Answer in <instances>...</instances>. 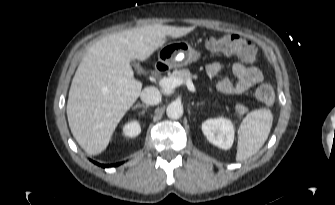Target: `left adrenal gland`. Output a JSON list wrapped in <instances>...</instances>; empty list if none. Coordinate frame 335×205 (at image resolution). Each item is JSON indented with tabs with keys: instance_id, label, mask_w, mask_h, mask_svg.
I'll return each instance as SVG.
<instances>
[{
	"instance_id": "left-adrenal-gland-1",
	"label": "left adrenal gland",
	"mask_w": 335,
	"mask_h": 205,
	"mask_svg": "<svg viewBox=\"0 0 335 205\" xmlns=\"http://www.w3.org/2000/svg\"><path fill=\"white\" fill-rule=\"evenodd\" d=\"M204 103L202 102V103H197V106H199V105H203Z\"/></svg>"
}]
</instances>
